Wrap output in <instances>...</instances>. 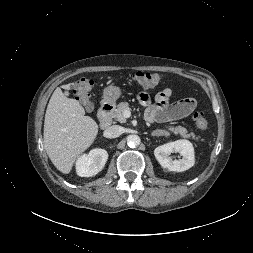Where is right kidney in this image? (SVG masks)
Returning <instances> with one entry per match:
<instances>
[{"mask_svg":"<svg viewBox=\"0 0 253 253\" xmlns=\"http://www.w3.org/2000/svg\"><path fill=\"white\" fill-rule=\"evenodd\" d=\"M108 159V153L104 149H93L89 154L81 156L76 162L77 175L92 177L99 173Z\"/></svg>","mask_w":253,"mask_h":253,"instance_id":"ca27d5eb","label":"right kidney"}]
</instances>
